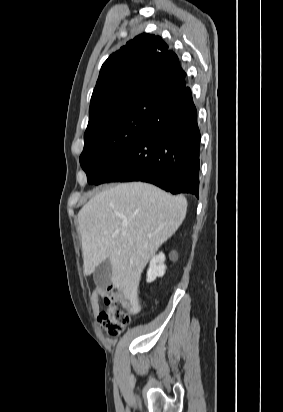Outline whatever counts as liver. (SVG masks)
Segmentation results:
<instances>
[{"mask_svg":"<svg viewBox=\"0 0 283 412\" xmlns=\"http://www.w3.org/2000/svg\"><path fill=\"white\" fill-rule=\"evenodd\" d=\"M186 211L184 196L147 183H122L97 193L78 213L84 274L91 275L108 258L113 285L129 300V312L138 313L141 273Z\"/></svg>","mask_w":283,"mask_h":412,"instance_id":"1","label":"liver"}]
</instances>
